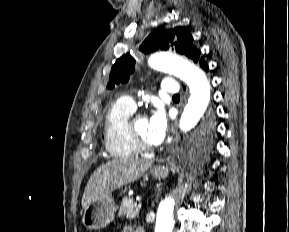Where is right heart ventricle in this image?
<instances>
[{"label":"right heart ventricle","mask_w":289,"mask_h":232,"mask_svg":"<svg viewBox=\"0 0 289 232\" xmlns=\"http://www.w3.org/2000/svg\"><path fill=\"white\" fill-rule=\"evenodd\" d=\"M125 101L118 99L107 109L103 121V141L108 154L116 158H130L138 154V150L129 139L126 123L133 114Z\"/></svg>","instance_id":"right-heart-ventricle-1"}]
</instances>
